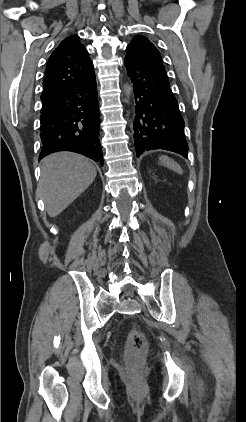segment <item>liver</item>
<instances>
[{
	"instance_id": "1",
	"label": "liver",
	"mask_w": 246,
	"mask_h": 422,
	"mask_svg": "<svg viewBox=\"0 0 246 422\" xmlns=\"http://www.w3.org/2000/svg\"><path fill=\"white\" fill-rule=\"evenodd\" d=\"M96 168L86 157L58 152L42 160L38 193L50 217H56L94 181Z\"/></svg>"
}]
</instances>
